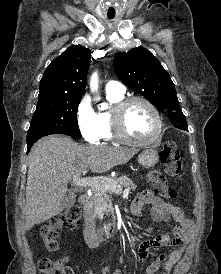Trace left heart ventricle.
Returning a JSON list of instances; mask_svg holds the SVG:
<instances>
[{
	"mask_svg": "<svg viewBox=\"0 0 221 274\" xmlns=\"http://www.w3.org/2000/svg\"><path fill=\"white\" fill-rule=\"evenodd\" d=\"M123 128L129 137L144 140L154 133L156 123L150 109L143 103L136 102L125 111Z\"/></svg>",
	"mask_w": 221,
	"mask_h": 274,
	"instance_id": "b2bd125f",
	"label": "left heart ventricle"
}]
</instances>
